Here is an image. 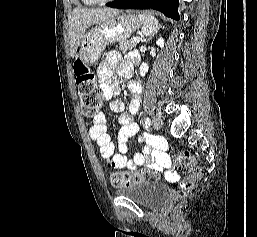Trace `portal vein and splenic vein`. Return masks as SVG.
Masks as SVG:
<instances>
[{"mask_svg": "<svg viewBox=\"0 0 257 237\" xmlns=\"http://www.w3.org/2000/svg\"><path fill=\"white\" fill-rule=\"evenodd\" d=\"M134 41H135L136 43H139V42H140V38H139V37H135V38H134Z\"/></svg>", "mask_w": 257, "mask_h": 237, "instance_id": "obj_1", "label": "portal vein and splenic vein"}]
</instances>
